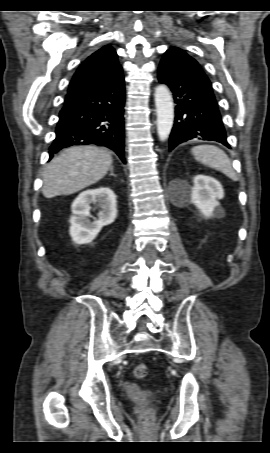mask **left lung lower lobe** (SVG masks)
Returning a JSON list of instances; mask_svg holds the SVG:
<instances>
[{
  "mask_svg": "<svg viewBox=\"0 0 270 453\" xmlns=\"http://www.w3.org/2000/svg\"><path fill=\"white\" fill-rule=\"evenodd\" d=\"M158 78L171 88L176 103L169 151L191 139L214 140L230 148L211 82L197 62L184 55H165Z\"/></svg>",
  "mask_w": 270,
  "mask_h": 453,
  "instance_id": "0a47b994",
  "label": "left lung lower lobe"
}]
</instances>
